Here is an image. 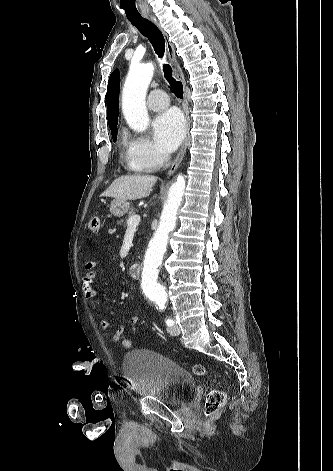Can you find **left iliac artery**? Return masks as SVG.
Masks as SVG:
<instances>
[{"label":"left iliac artery","instance_id":"obj_1","mask_svg":"<svg viewBox=\"0 0 333 471\" xmlns=\"http://www.w3.org/2000/svg\"><path fill=\"white\" fill-rule=\"evenodd\" d=\"M166 324L167 326H172L174 324V321L172 319H167Z\"/></svg>","mask_w":333,"mask_h":471}]
</instances>
